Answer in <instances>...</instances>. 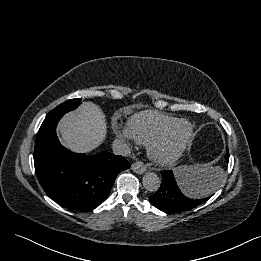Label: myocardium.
I'll return each instance as SVG.
<instances>
[{
  "instance_id": "obj_1",
  "label": "myocardium",
  "mask_w": 261,
  "mask_h": 261,
  "mask_svg": "<svg viewBox=\"0 0 261 261\" xmlns=\"http://www.w3.org/2000/svg\"><path fill=\"white\" fill-rule=\"evenodd\" d=\"M187 125L189 130L185 139L174 149L165 152L164 145L180 125ZM194 136V126L186 119H179L148 144V154L153 162L166 166L176 162L190 145Z\"/></svg>"
}]
</instances>
